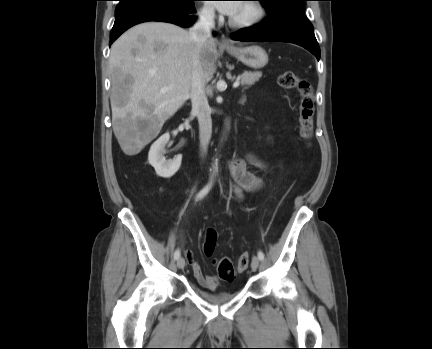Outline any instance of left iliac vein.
<instances>
[{
	"instance_id": "1",
	"label": "left iliac vein",
	"mask_w": 432,
	"mask_h": 349,
	"mask_svg": "<svg viewBox=\"0 0 432 349\" xmlns=\"http://www.w3.org/2000/svg\"><path fill=\"white\" fill-rule=\"evenodd\" d=\"M259 263H260L259 258L256 257V256H254L253 259H252V263H251L252 269L256 270L258 268V266H259Z\"/></svg>"
}]
</instances>
